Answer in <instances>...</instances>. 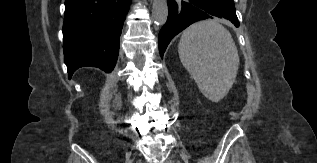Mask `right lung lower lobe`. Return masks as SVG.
<instances>
[{
    "label": "right lung lower lobe",
    "instance_id": "1",
    "mask_svg": "<svg viewBox=\"0 0 317 163\" xmlns=\"http://www.w3.org/2000/svg\"><path fill=\"white\" fill-rule=\"evenodd\" d=\"M131 0H65L64 62L69 79L80 67L111 72Z\"/></svg>",
    "mask_w": 317,
    "mask_h": 163
}]
</instances>
